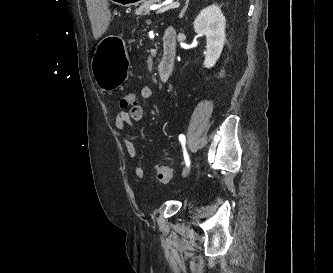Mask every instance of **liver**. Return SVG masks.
I'll return each instance as SVG.
<instances>
[{"instance_id": "obj_1", "label": "liver", "mask_w": 333, "mask_h": 273, "mask_svg": "<svg viewBox=\"0 0 333 273\" xmlns=\"http://www.w3.org/2000/svg\"><path fill=\"white\" fill-rule=\"evenodd\" d=\"M89 19L95 39L100 38L107 30L111 13L108 0H86Z\"/></svg>"}]
</instances>
